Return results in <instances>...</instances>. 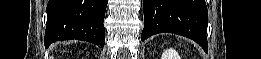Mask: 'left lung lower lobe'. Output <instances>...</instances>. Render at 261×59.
I'll return each mask as SVG.
<instances>
[{
  "label": "left lung lower lobe",
  "mask_w": 261,
  "mask_h": 59,
  "mask_svg": "<svg viewBox=\"0 0 261 59\" xmlns=\"http://www.w3.org/2000/svg\"><path fill=\"white\" fill-rule=\"evenodd\" d=\"M144 28L141 40L170 32L188 37L208 50V12L205 0H143Z\"/></svg>",
  "instance_id": "obj_1"
}]
</instances>
